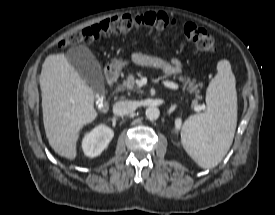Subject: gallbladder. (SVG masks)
Here are the masks:
<instances>
[{
	"instance_id": "1",
	"label": "gallbladder",
	"mask_w": 275,
	"mask_h": 215,
	"mask_svg": "<svg viewBox=\"0 0 275 215\" xmlns=\"http://www.w3.org/2000/svg\"><path fill=\"white\" fill-rule=\"evenodd\" d=\"M68 62L95 91L104 89V77L96 57L85 46L70 48L65 54Z\"/></svg>"
}]
</instances>
